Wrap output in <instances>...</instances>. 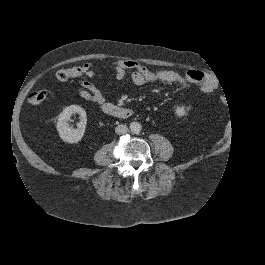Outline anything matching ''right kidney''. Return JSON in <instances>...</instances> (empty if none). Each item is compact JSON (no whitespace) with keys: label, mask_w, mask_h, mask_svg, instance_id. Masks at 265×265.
Masks as SVG:
<instances>
[{"label":"right kidney","mask_w":265,"mask_h":265,"mask_svg":"<svg viewBox=\"0 0 265 265\" xmlns=\"http://www.w3.org/2000/svg\"><path fill=\"white\" fill-rule=\"evenodd\" d=\"M76 113L80 116L79 129H73L68 124V120ZM86 123L87 116L85 110L79 106L71 105L59 114L56 129L63 142L77 144L84 137Z\"/></svg>","instance_id":"obj_1"}]
</instances>
